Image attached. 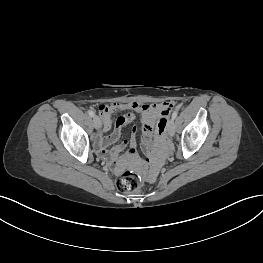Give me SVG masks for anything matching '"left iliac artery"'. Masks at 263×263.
<instances>
[{"mask_svg": "<svg viewBox=\"0 0 263 263\" xmlns=\"http://www.w3.org/2000/svg\"><path fill=\"white\" fill-rule=\"evenodd\" d=\"M177 111H174L173 113H172V119L174 120V119H176V117H177Z\"/></svg>", "mask_w": 263, "mask_h": 263, "instance_id": "left-iliac-artery-1", "label": "left iliac artery"}]
</instances>
